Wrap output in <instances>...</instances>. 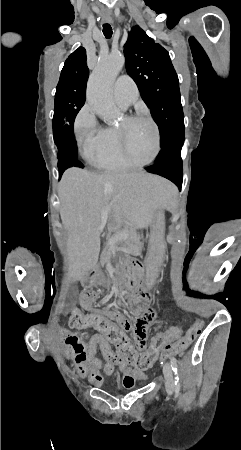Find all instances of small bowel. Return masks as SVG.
Masks as SVG:
<instances>
[{
  "instance_id": "small-bowel-1",
  "label": "small bowel",
  "mask_w": 241,
  "mask_h": 450,
  "mask_svg": "<svg viewBox=\"0 0 241 450\" xmlns=\"http://www.w3.org/2000/svg\"><path fill=\"white\" fill-rule=\"evenodd\" d=\"M91 286L90 284H83V289L85 290L81 295V305L90 311H101L103 316H107V324H118V333H126L129 328H132L134 347H147V330L145 325H150L154 322H167L166 318H151L154 315V312L150 310L154 304L151 298L127 299V306L134 309L131 313L134 317L133 325L125 319L130 316L129 309H120V311L111 308L97 309L94 305L98 299V295L96 292L90 290ZM141 307H146L147 309L143 310ZM87 327L94 328V325H80L76 328ZM178 329L181 331L179 327ZM59 333L64 335L66 330L61 328ZM104 335L105 333H97L91 337L88 343H84L78 335L69 334L66 342L69 349L66 353L72 356L78 372L81 375H88L89 380L93 384L100 383L99 379L102 378L100 370H103L107 375H112L115 369H118L123 374V386L126 389H133L135 387V381L137 379L145 380L147 378L146 374L137 369H130V361H122L121 356H112L113 349L108 346V342H105ZM98 350L107 361L106 364H103L96 356Z\"/></svg>"
}]
</instances>
